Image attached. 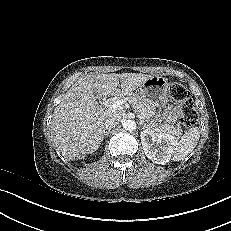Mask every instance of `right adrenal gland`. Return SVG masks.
Segmentation results:
<instances>
[{"mask_svg": "<svg viewBox=\"0 0 231 231\" xmlns=\"http://www.w3.org/2000/svg\"><path fill=\"white\" fill-rule=\"evenodd\" d=\"M108 134H109V131H106L105 136H108Z\"/></svg>", "mask_w": 231, "mask_h": 231, "instance_id": "2a0ac1e0", "label": "right adrenal gland"}]
</instances>
